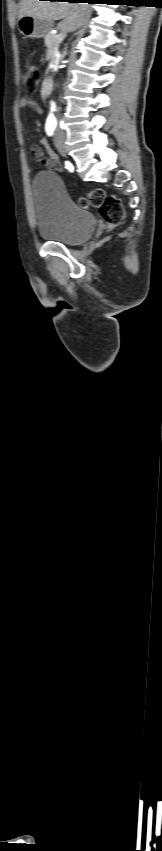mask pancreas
Instances as JSON below:
<instances>
[{
  "mask_svg": "<svg viewBox=\"0 0 162 851\" xmlns=\"http://www.w3.org/2000/svg\"><path fill=\"white\" fill-rule=\"evenodd\" d=\"M57 36H58L57 34H53V33L49 32L45 37V45L49 49V52L51 54L53 62L56 61L55 53L58 51L59 44L61 42V40H59L57 38Z\"/></svg>",
  "mask_w": 162,
  "mask_h": 851,
  "instance_id": "1",
  "label": "pancreas"
}]
</instances>
